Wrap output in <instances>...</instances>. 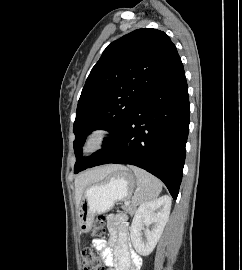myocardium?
I'll return each mask as SVG.
<instances>
[{"mask_svg":"<svg viewBox=\"0 0 242 270\" xmlns=\"http://www.w3.org/2000/svg\"><path fill=\"white\" fill-rule=\"evenodd\" d=\"M110 137V131L105 127H96L90 130L82 144L81 153L83 156H91L104 148Z\"/></svg>","mask_w":242,"mask_h":270,"instance_id":"f54148a6","label":"myocardium"}]
</instances>
